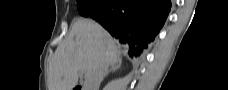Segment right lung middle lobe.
<instances>
[{"mask_svg": "<svg viewBox=\"0 0 228 90\" xmlns=\"http://www.w3.org/2000/svg\"><path fill=\"white\" fill-rule=\"evenodd\" d=\"M78 10L82 16H94L107 5V0H77Z\"/></svg>", "mask_w": 228, "mask_h": 90, "instance_id": "right-lung-middle-lobe-1", "label": "right lung middle lobe"}]
</instances>
